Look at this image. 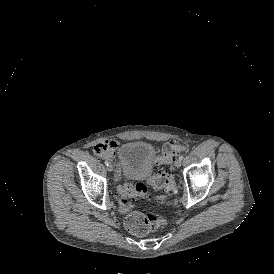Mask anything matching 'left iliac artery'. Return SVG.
<instances>
[{"instance_id":"left-iliac-artery-1","label":"left iliac artery","mask_w":274,"mask_h":274,"mask_svg":"<svg viewBox=\"0 0 274 274\" xmlns=\"http://www.w3.org/2000/svg\"><path fill=\"white\" fill-rule=\"evenodd\" d=\"M179 159H180V160H183V159H184V156H183V155H180V156H179Z\"/></svg>"}]
</instances>
